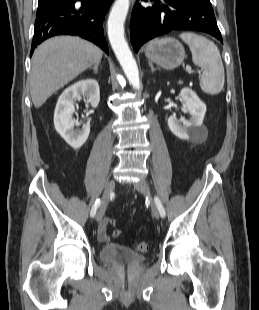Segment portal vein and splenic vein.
Returning a JSON list of instances; mask_svg holds the SVG:
<instances>
[{
	"label": "portal vein and splenic vein",
	"mask_w": 259,
	"mask_h": 310,
	"mask_svg": "<svg viewBox=\"0 0 259 310\" xmlns=\"http://www.w3.org/2000/svg\"><path fill=\"white\" fill-rule=\"evenodd\" d=\"M186 70H187L188 73H192L193 72L190 66H186Z\"/></svg>",
	"instance_id": "18ae733b"
}]
</instances>
